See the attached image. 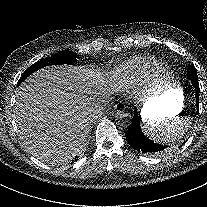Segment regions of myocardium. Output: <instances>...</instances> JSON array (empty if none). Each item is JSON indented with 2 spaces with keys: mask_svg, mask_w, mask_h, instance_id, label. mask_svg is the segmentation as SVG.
Wrapping results in <instances>:
<instances>
[{
  "mask_svg": "<svg viewBox=\"0 0 207 207\" xmlns=\"http://www.w3.org/2000/svg\"><path fill=\"white\" fill-rule=\"evenodd\" d=\"M172 75L171 66L167 63L159 65L152 74V80L156 84L166 83Z\"/></svg>",
  "mask_w": 207,
  "mask_h": 207,
  "instance_id": "f54148a6",
  "label": "myocardium"
}]
</instances>
